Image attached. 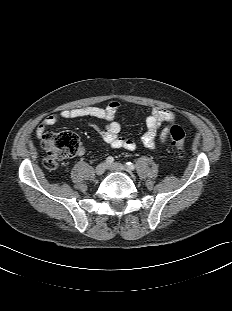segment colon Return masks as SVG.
<instances>
[{"label":"colon","instance_id":"5ec220e1","mask_svg":"<svg viewBox=\"0 0 232 311\" xmlns=\"http://www.w3.org/2000/svg\"><path fill=\"white\" fill-rule=\"evenodd\" d=\"M172 144L177 149L178 155H184V131L180 126L170 128ZM78 136L69 131L47 133L43 138V148L47 152L44 164L48 169L58 168L65 160L74 156L79 149Z\"/></svg>","mask_w":232,"mask_h":311}]
</instances>
